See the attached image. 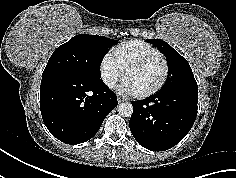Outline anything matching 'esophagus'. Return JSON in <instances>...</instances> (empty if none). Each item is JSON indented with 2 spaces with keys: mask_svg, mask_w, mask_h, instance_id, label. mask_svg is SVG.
<instances>
[{
  "mask_svg": "<svg viewBox=\"0 0 236 178\" xmlns=\"http://www.w3.org/2000/svg\"><path fill=\"white\" fill-rule=\"evenodd\" d=\"M117 100H118V102L125 101V99H124L123 97H121V96H118V97H117Z\"/></svg>",
  "mask_w": 236,
  "mask_h": 178,
  "instance_id": "1",
  "label": "esophagus"
}]
</instances>
